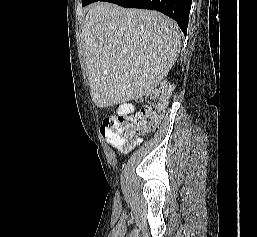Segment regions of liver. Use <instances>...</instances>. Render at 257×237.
<instances>
[{
    "instance_id": "1",
    "label": "liver",
    "mask_w": 257,
    "mask_h": 237,
    "mask_svg": "<svg viewBox=\"0 0 257 237\" xmlns=\"http://www.w3.org/2000/svg\"><path fill=\"white\" fill-rule=\"evenodd\" d=\"M82 32L92 99L102 108L149 96L181 49L169 17L111 3L91 6Z\"/></svg>"
}]
</instances>
